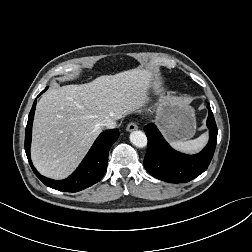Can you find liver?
<instances>
[{
  "instance_id": "liver-1",
  "label": "liver",
  "mask_w": 252,
  "mask_h": 252,
  "mask_svg": "<svg viewBox=\"0 0 252 252\" xmlns=\"http://www.w3.org/2000/svg\"><path fill=\"white\" fill-rule=\"evenodd\" d=\"M152 78L149 70L132 69L48 90L37 103L33 122L36 169L52 179L66 178L102 132L104 120L141 112Z\"/></svg>"
}]
</instances>
